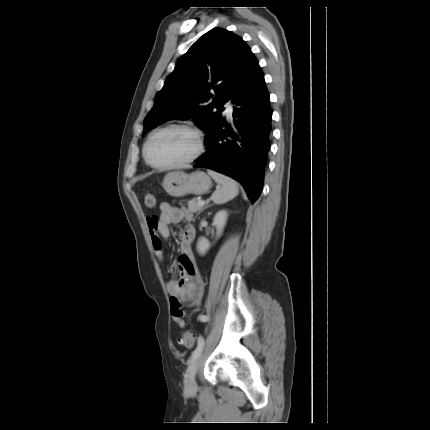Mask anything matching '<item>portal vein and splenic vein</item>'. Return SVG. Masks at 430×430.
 <instances>
[{
  "mask_svg": "<svg viewBox=\"0 0 430 430\" xmlns=\"http://www.w3.org/2000/svg\"><path fill=\"white\" fill-rule=\"evenodd\" d=\"M197 203H198L199 206H203L204 205V201L203 200H199Z\"/></svg>",
  "mask_w": 430,
  "mask_h": 430,
  "instance_id": "obj_1",
  "label": "portal vein and splenic vein"
}]
</instances>
